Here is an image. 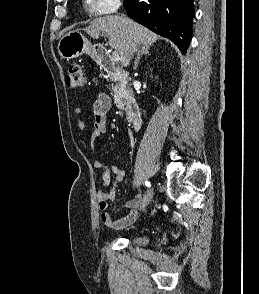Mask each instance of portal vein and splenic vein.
<instances>
[{
    "label": "portal vein and splenic vein",
    "instance_id": "portal-vein-and-splenic-vein-1",
    "mask_svg": "<svg viewBox=\"0 0 259 294\" xmlns=\"http://www.w3.org/2000/svg\"><path fill=\"white\" fill-rule=\"evenodd\" d=\"M111 60L114 62H119L120 61V55L117 52H113L111 56Z\"/></svg>",
    "mask_w": 259,
    "mask_h": 294
}]
</instances>
